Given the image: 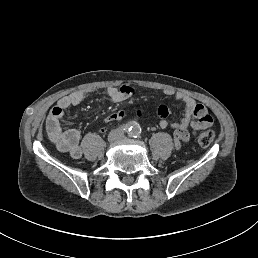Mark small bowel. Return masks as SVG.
<instances>
[{
	"label": "small bowel",
	"instance_id": "small-bowel-1",
	"mask_svg": "<svg viewBox=\"0 0 258 258\" xmlns=\"http://www.w3.org/2000/svg\"><path fill=\"white\" fill-rule=\"evenodd\" d=\"M134 92L135 90L132 86L122 85L120 87H108L102 90H80L62 97L50 110L46 121V130L49 139L61 152L68 153L74 159L80 158L82 156L80 132L74 128L64 127L63 117L65 111L72 106L79 105L85 99L96 93H103L112 102L119 103L130 98ZM163 93L183 104V113L178 122L168 120V116L172 112L171 107L160 105L157 110V114L160 118V127L162 129L170 127L174 130V144L177 149L180 148L182 142H187L190 139V129H192V133L195 134L197 131L213 125V118L206 107L197 103L191 96L170 89L164 90ZM124 118V111H116L108 115L104 122L108 124L120 121Z\"/></svg>",
	"mask_w": 258,
	"mask_h": 258
}]
</instances>
